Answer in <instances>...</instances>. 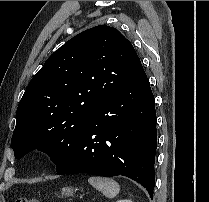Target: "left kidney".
Instances as JSON below:
<instances>
[{"label": "left kidney", "instance_id": "obj_1", "mask_svg": "<svg viewBox=\"0 0 209 202\" xmlns=\"http://www.w3.org/2000/svg\"><path fill=\"white\" fill-rule=\"evenodd\" d=\"M116 202H132V201L129 200V199H121V200H118V201H116Z\"/></svg>", "mask_w": 209, "mask_h": 202}]
</instances>
